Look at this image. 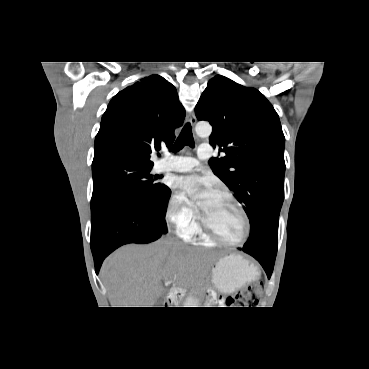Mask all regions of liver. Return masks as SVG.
<instances>
[{"label":"liver","mask_w":369,"mask_h":369,"mask_svg":"<svg viewBox=\"0 0 369 369\" xmlns=\"http://www.w3.org/2000/svg\"><path fill=\"white\" fill-rule=\"evenodd\" d=\"M213 260L209 251L163 238L121 247L104 261L100 275L112 307H154L165 291L162 280L188 288L204 278Z\"/></svg>","instance_id":"6515ba94"}]
</instances>
